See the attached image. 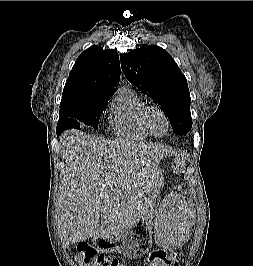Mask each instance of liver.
I'll list each match as a JSON object with an SVG mask.
<instances>
[{
    "label": "liver",
    "instance_id": "1",
    "mask_svg": "<svg viewBox=\"0 0 253 266\" xmlns=\"http://www.w3.org/2000/svg\"><path fill=\"white\" fill-rule=\"evenodd\" d=\"M66 179L60 195L62 237L79 243L128 229L148 208L156 191L157 166L165 146L131 140H95L83 132L60 137Z\"/></svg>",
    "mask_w": 253,
    "mask_h": 266
}]
</instances>
